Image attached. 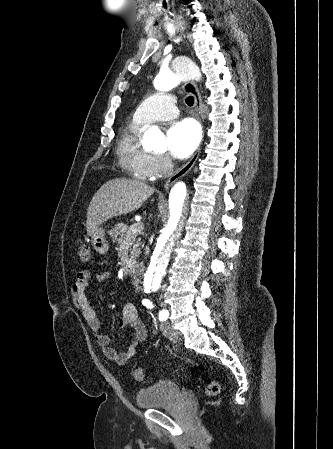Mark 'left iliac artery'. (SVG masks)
Wrapping results in <instances>:
<instances>
[{
    "label": "left iliac artery",
    "mask_w": 333,
    "mask_h": 449,
    "mask_svg": "<svg viewBox=\"0 0 333 449\" xmlns=\"http://www.w3.org/2000/svg\"><path fill=\"white\" fill-rule=\"evenodd\" d=\"M146 306H147L148 308H150V309L153 308L152 303L149 302V301H147ZM168 316H169V312H168L167 310H161V311L159 312L158 318H159L160 321H165V320L168 318Z\"/></svg>",
    "instance_id": "obj_1"
}]
</instances>
